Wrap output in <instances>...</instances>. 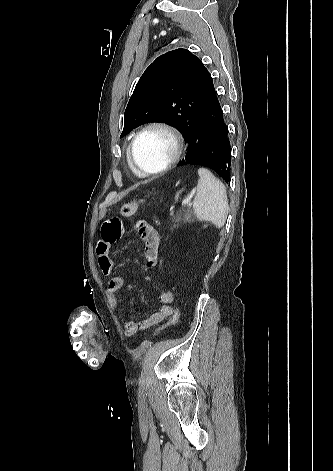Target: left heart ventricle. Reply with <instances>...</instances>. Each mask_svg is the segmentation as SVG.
Here are the masks:
<instances>
[{
  "instance_id": "obj_1",
  "label": "left heart ventricle",
  "mask_w": 333,
  "mask_h": 471,
  "mask_svg": "<svg viewBox=\"0 0 333 471\" xmlns=\"http://www.w3.org/2000/svg\"><path fill=\"white\" fill-rule=\"evenodd\" d=\"M173 151L174 143L171 136L163 130L152 129L138 139L134 157L142 168L156 170L170 159Z\"/></svg>"
}]
</instances>
